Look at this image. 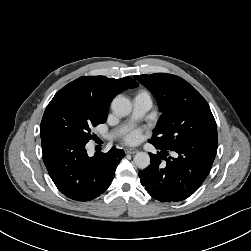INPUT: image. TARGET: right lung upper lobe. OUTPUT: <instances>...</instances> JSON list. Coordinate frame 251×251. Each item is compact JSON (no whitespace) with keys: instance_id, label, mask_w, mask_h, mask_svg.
Instances as JSON below:
<instances>
[{"instance_id":"right-lung-upper-lobe-1","label":"right lung upper lobe","mask_w":251,"mask_h":251,"mask_svg":"<svg viewBox=\"0 0 251 251\" xmlns=\"http://www.w3.org/2000/svg\"><path fill=\"white\" fill-rule=\"evenodd\" d=\"M136 86L138 83L131 77L114 79L84 76L70 82L61 91L73 92L88 100L101 113L108 114V107L113 98L120 92Z\"/></svg>"}]
</instances>
